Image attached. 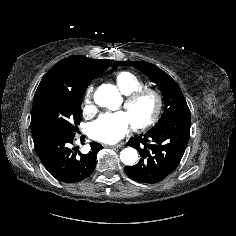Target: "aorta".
I'll return each mask as SVG.
<instances>
[{"mask_svg": "<svg viewBox=\"0 0 236 236\" xmlns=\"http://www.w3.org/2000/svg\"><path fill=\"white\" fill-rule=\"evenodd\" d=\"M121 100L120 93L115 86L104 85L94 93V101L101 107L115 109ZM120 159L125 165H133L138 160V152L131 147L120 152Z\"/></svg>", "mask_w": 236, "mask_h": 236, "instance_id": "762f6f07", "label": "aorta"}]
</instances>
